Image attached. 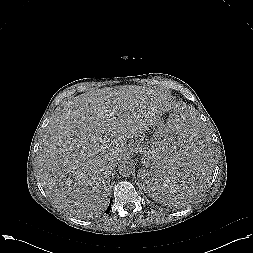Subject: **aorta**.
Masks as SVG:
<instances>
[{"label":"aorta","mask_w":253,"mask_h":253,"mask_svg":"<svg viewBox=\"0 0 253 253\" xmlns=\"http://www.w3.org/2000/svg\"><path fill=\"white\" fill-rule=\"evenodd\" d=\"M118 171L121 176L128 177L135 171V166L132 161L124 160L118 165Z\"/></svg>","instance_id":"762f6f07"}]
</instances>
